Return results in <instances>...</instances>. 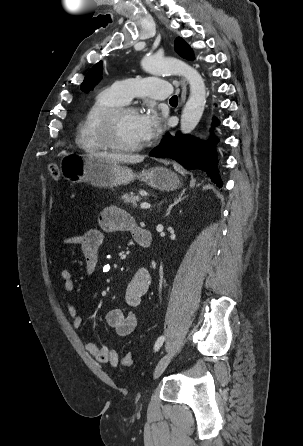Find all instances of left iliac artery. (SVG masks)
I'll return each mask as SVG.
<instances>
[{
	"mask_svg": "<svg viewBox=\"0 0 303 446\" xmlns=\"http://www.w3.org/2000/svg\"><path fill=\"white\" fill-rule=\"evenodd\" d=\"M164 340H165V337H164V336H160V337L157 339V341H156V343H155V346H154V350H155V351H158V350L160 349V347L162 346Z\"/></svg>",
	"mask_w": 303,
	"mask_h": 446,
	"instance_id": "44dca946",
	"label": "left iliac artery"
}]
</instances>
